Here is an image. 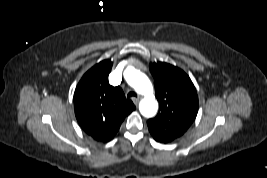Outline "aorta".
Instances as JSON below:
<instances>
[{
  "label": "aorta",
  "mask_w": 267,
  "mask_h": 178,
  "mask_svg": "<svg viewBox=\"0 0 267 178\" xmlns=\"http://www.w3.org/2000/svg\"><path fill=\"white\" fill-rule=\"evenodd\" d=\"M125 78L131 87L139 94L144 95L139 104L141 114L145 117L154 116L158 109V103L153 96V86L149 78L136 69L127 70Z\"/></svg>",
  "instance_id": "762f6f07"
}]
</instances>
